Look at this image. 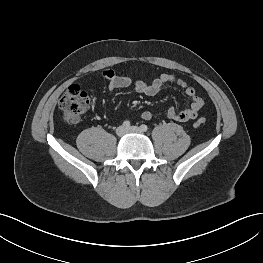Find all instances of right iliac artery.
Here are the masks:
<instances>
[{"label": "right iliac artery", "instance_id": "1", "mask_svg": "<svg viewBox=\"0 0 263 263\" xmlns=\"http://www.w3.org/2000/svg\"><path fill=\"white\" fill-rule=\"evenodd\" d=\"M123 126H124L125 128H129V127H130V122H129L128 120L124 121V122H123Z\"/></svg>", "mask_w": 263, "mask_h": 263}]
</instances>
